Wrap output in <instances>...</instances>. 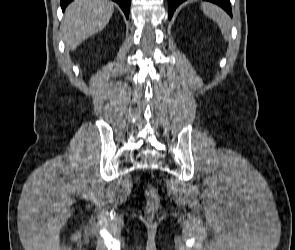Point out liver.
<instances>
[{
	"label": "liver",
	"mask_w": 295,
	"mask_h": 250,
	"mask_svg": "<svg viewBox=\"0 0 295 250\" xmlns=\"http://www.w3.org/2000/svg\"><path fill=\"white\" fill-rule=\"evenodd\" d=\"M114 8L107 0H75L66 9L63 34L67 50L98 33L109 22Z\"/></svg>",
	"instance_id": "6515ba94"
}]
</instances>
